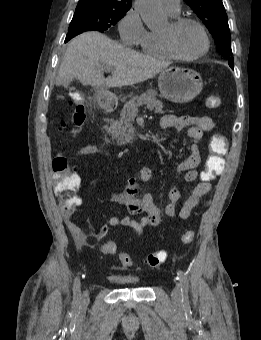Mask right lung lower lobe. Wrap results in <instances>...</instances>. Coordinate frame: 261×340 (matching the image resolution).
<instances>
[{
  "instance_id": "right-lung-lower-lobe-1",
  "label": "right lung lower lobe",
  "mask_w": 261,
  "mask_h": 340,
  "mask_svg": "<svg viewBox=\"0 0 261 340\" xmlns=\"http://www.w3.org/2000/svg\"><path fill=\"white\" fill-rule=\"evenodd\" d=\"M82 32H85V31L75 30V31L68 32V34L66 36V39H65V42H68L71 38L75 37L76 35H78V34H80Z\"/></svg>"
}]
</instances>
